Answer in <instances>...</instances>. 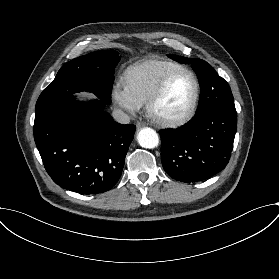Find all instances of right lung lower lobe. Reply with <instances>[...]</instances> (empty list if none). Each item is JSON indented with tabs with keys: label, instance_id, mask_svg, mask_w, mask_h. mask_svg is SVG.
<instances>
[{
	"label": "right lung lower lobe",
	"instance_id": "1",
	"mask_svg": "<svg viewBox=\"0 0 279 279\" xmlns=\"http://www.w3.org/2000/svg\"><path fill=\"white\" fill-rule=\"evenodd\" d=\"M105 105L70 95L36 110L34 140L46 171L62 188L92 195L119 180L136 127L115 122Z\"/></svg>",
	"mask_w": 279,
	"mask_h": 279
}]
</instances>
